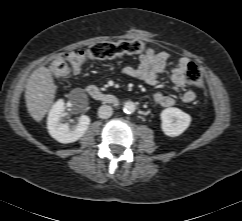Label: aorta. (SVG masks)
<instances>
[{"label": "aorta", "mask_w": 242, "mask_h": 221, "mask_svg": "<svg viewBox=\"0 0 242 221\" xmlns=\"http://www.w3.org/2000/svg\"><path fill=\"white\" fill-rule=\"evenodd\" d=\"M136 110V105L132 101H127L124 103L123 111L127 114H131Z\"/></svg>", "instance_id": "762f6f07"}]
</instances>
